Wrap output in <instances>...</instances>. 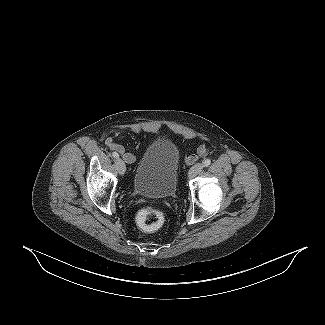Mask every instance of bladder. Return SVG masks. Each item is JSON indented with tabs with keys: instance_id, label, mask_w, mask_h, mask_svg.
I'll list each match as a JSON object with an SVG mask.
<instances>
[{
	"instance_id": "31cf9c89",
	"label": "bladder",
	"mask_w": 325,
	"mask_h": 325,
	"mask_svg": "<svg viewBox=\"0 0 325 325\" xmlns=\"http://www.w3.org/2000/svg\"><path fill=\"white\" fill-rule=\"evenodd\" d=\"M180 151L169 139H157L145 150L133 178L135 191L146 197L168 198L177 190Z\"/></svg>"
}]
</instances>
